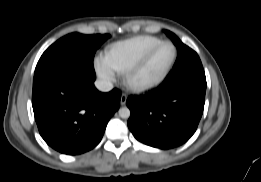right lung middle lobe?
Returning a JSON list of instances; mask_svg holds the SVG:
<instances>
[{"label":"right lung middle lobe","mask_w":261,"mask_h":182,"mask_svg":"<svg viewBox=\"0 0 261 182\" xmlns=\"http://www.w3.org/2000/svg\"><path fill=\"white\" fill-rule=\"evenodd\" d=\"M109 37V34H68L57 40L43 53L37 63L36 69L66 56L78 57L86 65L93 66V58L96 50Z\"/></svg>","instance_id":"right-lung-middle-lobe-1"}]
</instances>
